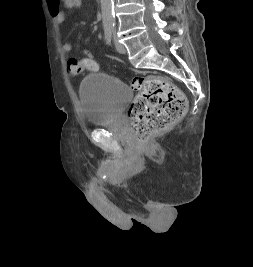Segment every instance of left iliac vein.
I'll return each instance as SVG.
<instances>
[{
    "label": "left iliac vein",
    "instance_id": "4c4485c4",
    "mask_svg": "<svg viewBox=\"0 0 253 267\" xmlns=\"http://www.w3.org/2000/svg\"><path fill=\"white\" fill-rule=\"evenodd\" d=\"M114 44H115V47H116V50L118 53H120V54L126 53L125 47L118 41L117 38H114Z\"/></svg>",
    "mask_w": 253,
    "mask_h": 267
}]
</instances>
